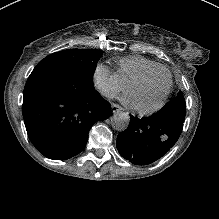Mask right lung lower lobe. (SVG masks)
<instances>
[{
	"instance_id": "obj_1",
	"label": "right lung lower lobe",
	"mask_w": 219,
	"mask_h": 219,
	"mask_svg": "<svg viewBox=\"0 0 219 219\" xmlns=\"http://www.w3.org/2000/svg\"><path fill=\"white\" fill-rule=\"evenodd\" d=\"M112 113L93 81L69 64H54L29 76L23 117L31 142L46 157L68 159L81 152L92 125Z\"/></svg>"
}]
</instances>
